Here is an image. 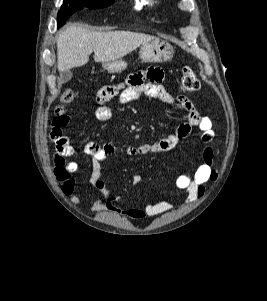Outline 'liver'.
<instances>
[{
  "instance_id": "6515ba94",
  "label": "liver",
  "mask_w": 267,
  "mask_h": 301,
  "mask_svg": "<svg viewBox=\"0 0 267 301\" xmlns=\"http://www.w3.org/2000/svg\"><path fill=\"white\" fill-rule=\"evenodd\" d=\"M155 39L129 31L93 32L71 24L57 37V67L59 71H66L83 66L92 52L95 62L114 61Z\"/></svg>"
}]
</instances>
